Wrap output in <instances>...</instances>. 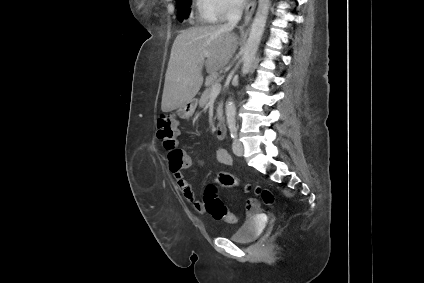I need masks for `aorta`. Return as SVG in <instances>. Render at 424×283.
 I'll list each match as a JSON object with an SVG mask.
<instances>
[{"instance_id": "1", "label": "aorta", "mask_w": 424, "mask_h": 283, "mask_svg": "<svg viewBox=\"0 0 424 283\" xmlns=\"http://www.w3.org/2000/svg\"><path fill=\"white\" fill-rule=\"evenodd\" d=\"M269 6L270 0H258V8L242 56L243 73L248 72L250 70V67L255 59L262 35L265 30ZM225 113L227 125L229 127H235L236 106L232 99L227 102Z\"/></svg>"}]
</instances>
